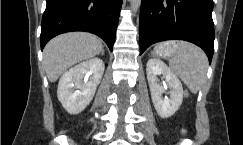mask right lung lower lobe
<instances>
[{"instance_id":"right-lung-lower-lobe-1","label":"right lung lower lobe","mask_w":243,"mask_h":145,"mask_svg":"<svg viewBox=\"0 0 243 145\" xmlns=\"http://www.w3.org/2000/svg\"><path fill=\"white\" fill-rule=\"evenodd\" d=\"M123 0H47L41 23V50L58 34L86 31L113 49Z\"/></svg>"}]
</instances>
